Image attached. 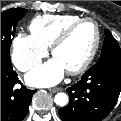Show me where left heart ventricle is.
Returning <instances> with one entry per match:
<instances>
[{
  "label": "left heart ventricle",
  "mask_w": 121,
  "mask_h": 121,
  "mask_svg": "<svg viewBox=\"0 0 121 121\" xmlns=\"http://www.w3.org/2000/svg\"><path fill=\"white\" fill-rule=\"evenodd\" d=\"M95 41V29L91 23L78 26L68 40L55 52L54 57L59 60L66 71L79 66Z\"/></svg>",
  "instance_id": "obj_1"
}]
</instances>
